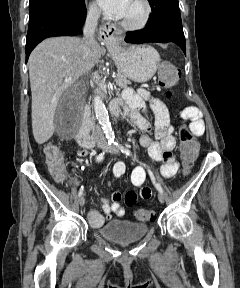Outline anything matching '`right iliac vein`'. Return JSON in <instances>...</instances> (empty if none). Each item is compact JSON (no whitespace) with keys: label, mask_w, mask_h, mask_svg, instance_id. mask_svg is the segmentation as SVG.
Listing matches in <instances>:
<instances>
[{"label":"right iliac vein","mask_w":240,"mask_h":288,"mask_svg":"<svg viewBox=\"0 0 240 288\" xmlns=\"http://www.w3.org/2000/svg\"><path fill=\"white\" fill-rule=\"evenodd\" d=\"M99 147L103 149L105 146L104 145H100ZM84 204H85V198H84V196H81L80 199H79V205L81 207H83Z\"/></svg>","instance_id":"right-iliac-vein-1"}]
</instances>
